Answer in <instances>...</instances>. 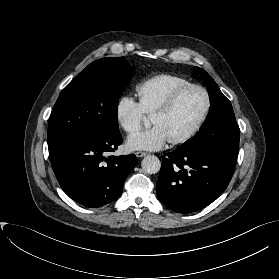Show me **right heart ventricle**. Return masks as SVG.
Wrapping results in <instances>:
<instances>
[{
    "mask_svg": "<svg viewBox=\"0 0 279 279\" xmlns=\"http://www.w3.org/2000/svg\"><path fill=\"white\" fill-rule=\"evenodd\" d=\"M188 83L190 81L185 77L170 73L157 74L143 80L136 87L142 110L145 114L152 115L173 90Z\"/></svg>",
    "mask_w": 279,
    "mask_h": 279,
    "instance_id": "obj_1",
    "label": "right heart ventricle"
}]
</instances>
